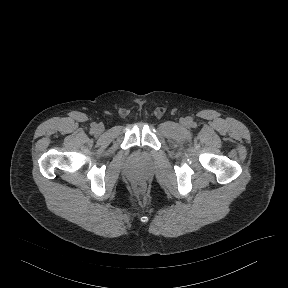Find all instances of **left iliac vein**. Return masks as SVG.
I'll return each instance as SVG.
<instances>
[{"label":"left iliac vein","instance_id":"4c4485c4","mask_svg":"<svg viewBox=\"0 0 288 288\" xmlns=\"http://www.w3.org/2000/svg\"><path fill=\"white\" fill-rule=\"evenodd\" d=\"M183 123H184V124H187L188 122H187V120H183Z\"/></svg>","mask_w":288,"mask_h":288}]
</instances>
